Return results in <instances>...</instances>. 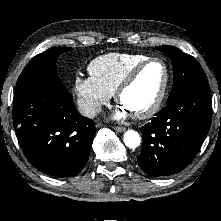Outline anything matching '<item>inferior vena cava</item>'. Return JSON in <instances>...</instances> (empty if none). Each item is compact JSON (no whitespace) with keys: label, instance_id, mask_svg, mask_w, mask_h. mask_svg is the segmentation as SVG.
Here are the masks:
<instances>
[{"label":"inferior vena cava","instance_id":"602c4592","mask_svg":"<svg viewBox=\"0 0 221 221\" xmlns=\"http://www.w3.org/2000/svg\"><path fill=\"white\" fill-rule=\"evenodd\" d=\"M102 110L101 105L90 100L82 99L79 101V112L88 118L95 117Z\"/></svg>","mask_w":221,"mask_h":221}]
</instances>
